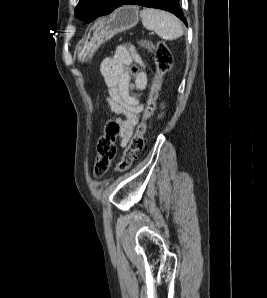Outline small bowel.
I'll list each match as a JSON object with an SVG mask.
<instances>
[{
	"mask_svg": "<svg viewBox=\"0 0 267 298\" xmlns=\"http://www.w3.org/2000/svg\"><path fill=\"white\" fill-rule=\"evenodd\" d=\"M133 63L144 67L142 58L133 48L119 46L113 56L105 58L100 65L107 90L105 102L112 111L106 123L112 121L116 124L122 144H126L132 136L143 111L140 94L135 96L130 93L129 68ZM147 83L146 72L142 71L135 76L134 84L140 93L146 89Z\"/></svg>",
	"mask_w": 267,
	"mask_h": 298,
	"instance_id": "obj_1",
	"label": "small bowel"
}]
</instances>
